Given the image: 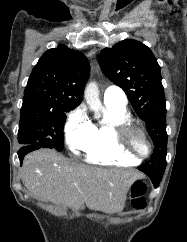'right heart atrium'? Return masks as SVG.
<instances>
[{"instance_id": "right-heart-atrium-1", "label": "right heart atrium", "mask_w": 187, "mask_h": 242, "mask_svg": "<svg viewBox=\"0 0 187 242\" xmlns=\"http://www.w3.org/2000/svg\"><path fill=\"white\" fill-rule=\"evenodd\" d=\"M93 124L82 108L75 109L65 125V139L74 154L83 152L92 140Z\"/></svg>"}]
</instances>
